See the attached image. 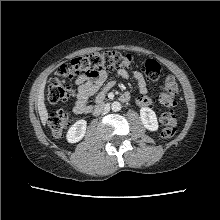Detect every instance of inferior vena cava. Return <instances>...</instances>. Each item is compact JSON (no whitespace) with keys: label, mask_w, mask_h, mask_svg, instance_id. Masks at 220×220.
<instances>
[{"label":"inferior vena cava","mask_w":220,"mask_h":220,"mask_svg":"<svg viewBox=\"0 0 220 220\" xmlns=\"http://www.w3.org/2000/svg\"><path fill=\"white\" fill-rule=\"evenodd\" d=\"M110 110V106L108 104L105 105H100L96 108L95 113H101V114H106Z\"/></svg>","instance_id":"inferior-vena-cava-1"}]
</instances>
